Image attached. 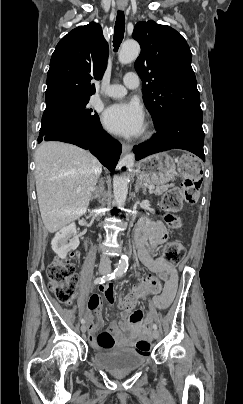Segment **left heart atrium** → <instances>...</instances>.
Wrapping results in <instances>:
<instances>
[{
  "instance_id": "obj_1",
  "label": "left heart atrium",
  "mask_w": 243,
  "mask_h": 404,
  "mask_svg": "<svg viewBox=\"0 0 243 404\" xmlns=\"http://www.w3.org/2000/svg\"><path fill=\"white\" fill-rule=\"evenodd\" d=\"M101 121L107 131L127 138H137L145 130L144 111L135 99L119 101L106 107Z\"/></svg>"
}]
</instances>
